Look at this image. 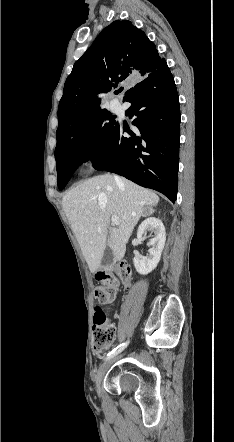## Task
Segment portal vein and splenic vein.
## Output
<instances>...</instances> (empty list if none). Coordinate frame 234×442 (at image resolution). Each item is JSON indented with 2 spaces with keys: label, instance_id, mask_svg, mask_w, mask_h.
I'll return each mask as SVG.
<instances>
[{
  "label": "portal vein and splenic vein",
  "instance_id": "1",
  "mask_svg": "<svg viewBox=\"0 0 234 442\" xmlns=\"http://www.w3.org/2000/svg\"><path fill=\"white\" fill-rule=\"evenodd\" d=\"M111 221H112V224L113 225H116V226H118L120 223H119V218L117 217V216H112L111 217Z\"/></svg>",
  "mask_w": 234,
  "mask_h": 442
}]
</instances>
